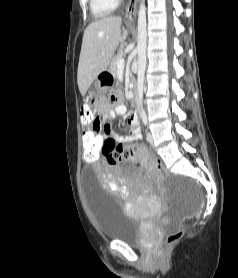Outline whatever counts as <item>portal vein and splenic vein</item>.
I'll list each match as a JSON object with an SVG mask.
<instances>
[{"label": "portal vein and splenic vein", "mask_w": 238, "mask_h": 278, "mask_svg": "<svg viewBox=\"0 0 238 278\" xmlns=\"http://www.w3.org/2000/svg\"><path fill=\"white\" fill-rule=\"evenodd\" d=\"M124 66H125V60H124L123 58H121V59L118 60V62H117V68H118L119 70H122V69H124Z\"/></svg>", "instance_id": "1"}]
</instances>
